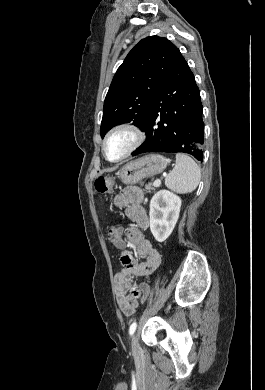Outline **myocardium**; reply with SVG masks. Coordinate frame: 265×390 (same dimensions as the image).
<instances>
[{
    "instance_id": "myocardium-1",
    "label": "myocardium",
    "mask_w": 265,
    "mask_h": 390,
    "mask_svg": "<svg viewBox=\"0 0 265 390\" xmlns=\"http://www.w3.org/2000/svg\"><path fill=\"white\" fill-rule=\"evenodd\" d=\"M119 132H127L131 136V142L125 152L117 159L111 160L107 156V143L109 139L116 133ZM145 134L142 129L132 122H122L113 126L105 135L102 142V153L105 159L110 163H118L126 158H128L131 154H133L144 142Z\"/></svg>"
}]
</instances>
